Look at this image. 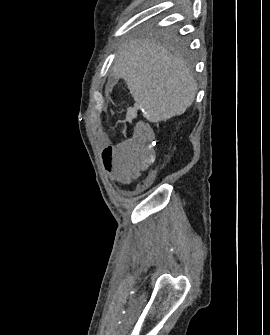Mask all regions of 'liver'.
<instances>
[{"label": "liver", "instance_id": "6515ba94", "mask_svg": "<svg viewBox=\"0 0 270 335\" xmlns=\"http://www.w3.org/2000/svg\"><path fill=\"white\" fill-rule=\"evenodd\" d=\"M113 70L125 80L149 122L181 116L194 102L197 84L184 60L159 42L143 38L125 42Z\"/></svg>", "mask_w": 270, "mask_h": 335}]
</instances>
